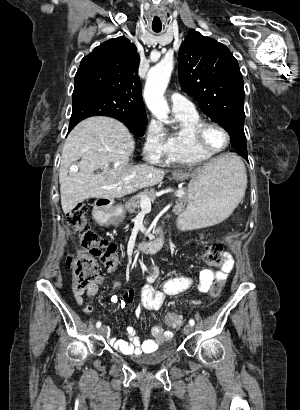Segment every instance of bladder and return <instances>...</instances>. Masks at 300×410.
<instances>
[{
    "instance_id": "1",
    "label": "bladder",
    "mask_w": 300,
    "mask_h": 410,
    "mask_svg": "<svg viewBox=\"0 0 300 410\" xmlns=\"http://www.w3.org/2000/svg\"><path fill=\"white\" fill-rule=\"evenodd\" d=\"M175 351V343L169 342L148 355H132L130 359L140 366L158 365L165 362Z\"/></svg>"
}]
</instances>
